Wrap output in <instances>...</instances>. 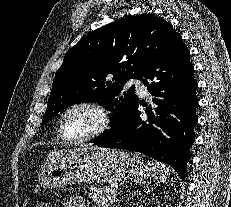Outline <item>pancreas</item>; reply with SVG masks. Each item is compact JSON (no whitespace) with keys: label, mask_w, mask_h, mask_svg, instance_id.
<instances>
[{"label":"pancreas","mask_w":231,"mask_h":207,"mask_svg":"<svg viewBox=\"0 0 231 207\" xmlns=\"http://www.w3.org/2000/svg\"><path fill=\"white\" fill-rule=\"evenodd\" d=\"M118 191L115 188L110 187H92L88 194L89 198L92 199L99 207H108L110 203L116 201Z\"/></svg>","instance_id":"obj_1"}]
</instances>
